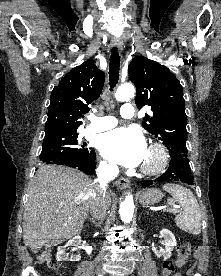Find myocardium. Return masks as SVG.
<instances>
[{
  "mask_svg": "<svg viewBox=\"0 0 221 276\" xmlns=\"http://www.w3.org/2000/svg\"><path fill=\"white\" fill-rule=\"evenodd\" d=\"M148 153L153 157L151 162L144 163L141 171L146 175H157L164 171L169 162V154L166 147L159 142H152L148 147Z\"/></svg>",
  "mask_w": 221,
  "mask_h": 276,
  "instance_id": "1",
  "label": "myocardium"
}]
</instances>
